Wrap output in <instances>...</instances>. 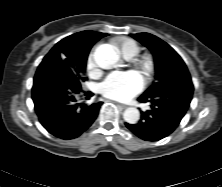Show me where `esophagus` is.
I'll return each mask as SVG.
<instances>
[{"label":"esophagus","mask_w":222,"mask_h":187,"mask_svg":"<svg viewBox=\"0 0 222 187\" xmlns=\"http://www.w3.org/2000/svg\"><path fill=\"white\" fill-rule=\"evenodd\" d=\"M116 104H117L118 106L122 107L123 109L127 107L126 105L120 104V103H118V102H116Z\"/></svg>","instance_id":"1"}]
</instances>
